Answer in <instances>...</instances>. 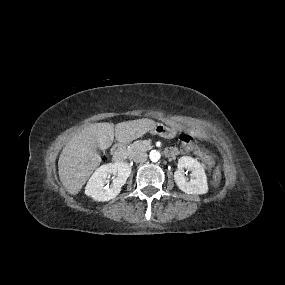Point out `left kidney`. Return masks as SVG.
Segmentation results:
<instances>
[{
	"mask_svg": "<svg viewBox=\"0 0 285 285\" xmlns=\"http://www.w3.org/2000/svg\"><path fill=\"white\" fill-rule=\"evenodd\" d=\"M191 171L192 179L187 181L183 170ZM174 180L179 189L187 194H205L208 192L207 177L203 166L194 158L183 156L178 160V170L174 173Z\"/></svg>",
	"mask_w": 285,
	"mask_h": 285,
	"instance_id": "obj_1",
	"label": "left kidney"
}]
</instances>
